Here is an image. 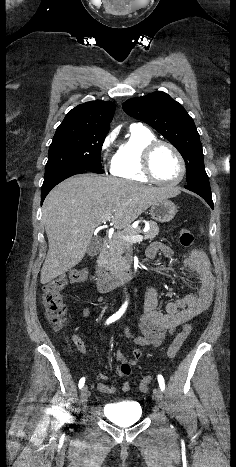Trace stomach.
<instances>
[{
	"instance_id": "1",
	"label": "stomach",
	"mask_w": 236,
	"mask_h": 467,
	"mask_svg": "<svg viewBox=\"0 0 236 467\" xmlns=\"http://www.w3.org/2000/svg\"><path fill=\"white\" fill-rule=\"evenodd\" d=\"M176 212V205L168 199L155 202L150 209L152 218L162 223L171 221L176 215Z\"/></svg>"
}]
</instances>
